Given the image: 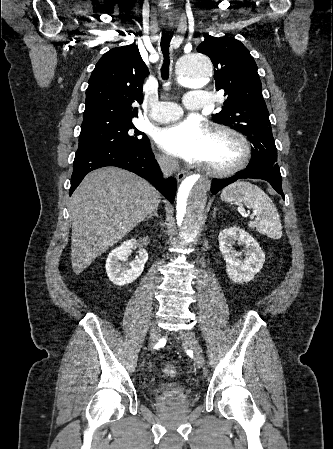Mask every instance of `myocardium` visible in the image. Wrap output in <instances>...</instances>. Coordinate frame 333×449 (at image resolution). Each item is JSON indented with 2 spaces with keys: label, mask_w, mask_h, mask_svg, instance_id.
Wrapping results in <instances>:
<instances>
[{
  "label": "myocardium",
  "mask_w": 333,
  "mask_h": 449,
  "mask_svg": "<svg viewBox=\"0 0 333 449\" xmlns=\"http://www.w3.org/2000/svg\"><path fill=\"white\" fill-rule=\"evenodd\" d=\"M210 135L214 137H222L233 142L238 150L237 158L229 165L215 167L203 164L204 170L211 176L224 178L233 175L244 168L251 157V146L247 138L240 132L222 126L214 127Z\"/></svg>",
  "instance_id": "1"
}]
</instances>
